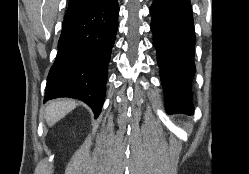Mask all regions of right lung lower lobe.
Segmentation results:
<instances>
[{
    "mask_svg": "<svg viewBox=\"0 0 249 174\" xmlns=\"http://www.w3.org/2000/svg\"><path fill=\"white\" fill-rule=\"evenodd\" d=\"M117 0H105L66 13L58 53L47 78L44 102L78 98L95 118L105 99L107 68L118 29Z\"/></svg>",
    "mask_w": 249,
    "mask_h": 174,
    "instance_id": "right-lung-lower-lobe-1",
    "label": "right lung lower lobe"
}]
</instances>
